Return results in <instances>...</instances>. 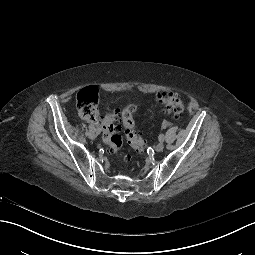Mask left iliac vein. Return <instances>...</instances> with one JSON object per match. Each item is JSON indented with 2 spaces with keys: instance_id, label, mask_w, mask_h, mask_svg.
<instances>
[{
  "instance_id": "obj_1",
  "label": "left iliac vein",
  "mask_w": 255,
  "mask_h": 255,
  "mask_svg": "<svg viewBox=\"0 0 255 255\" xmlns=\"http://www.w3.org/2000/svg\"><path fill=\"white\" fill-rule=\"evenodd\" d=\"M164 149V144L162 142L158 143L155 147L156 152H161Z\"/></svg>"
}]
</instances>
